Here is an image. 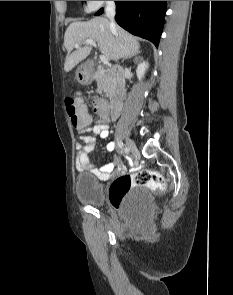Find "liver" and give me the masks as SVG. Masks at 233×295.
Masks as SVG:
<instances>
[{
    "label": "liver",
    "instance_id": "liver-1",
    "mask_svg": "<svg viewBox=\"0 0 233 295\" xmlns=\"http://www.w3.org/2000/svg\"><path fill=\"white\" fill-rule=\"evenodd\" d=\"M86 39L96 41L100 52L108 60L131 57L140 48L137 39L133 35L120 26H116L112 30L110 28V22L104 17H95L87 22H72L66 29L64 35V47L67 50L64 63L65 72L71 71L90 54V45H85L73 51L75 44Z\"/></svg>",
    "mask_w": 233,
    "mask_h": 295
}]
</instances>
